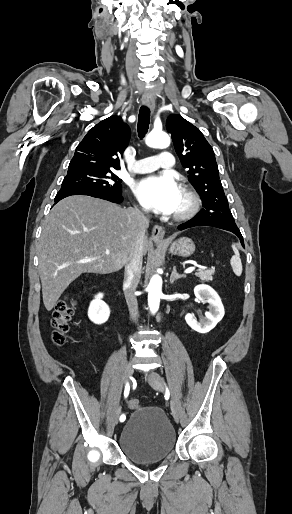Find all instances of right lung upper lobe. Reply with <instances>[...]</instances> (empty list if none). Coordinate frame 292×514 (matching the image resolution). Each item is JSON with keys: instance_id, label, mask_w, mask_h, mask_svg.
Segmentation results:
<instances>
[{"instance_id": "cb5924a9", "label": "right lung upper lobe", "mask_w": 292, "mask_h": 514, "mask_svg": "<svg viewBox=\"0 0 292 514\" xmlns=\"http://www.w3.org/2000/svg\"><path fill=\"white\" fill-rule=\"evenodd\" d=\"M131 131L120 116L113 115L95 125L79 143L68 172H114Z\"/></svg>"}]
</instances>
